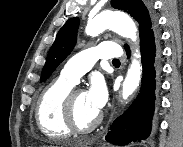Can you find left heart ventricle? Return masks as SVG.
Masks as SVG:
<instances>
[{"label": "left heart ventricle", "mask_w": 183, "mask_h": 147, "mask_svg": "<svg viewBox=\"0 0 183 147\" xmlns=\"http://www.w3.org/2000/svg\"><path fill=\"white\" fill-rule=\"evenodd\" d=\"M98 111L95 110L88 98L86 93L80 92L75 98V119L79 126H88L97 116Z\"/></svg>", "instance_id": "obj_1"}]
</instances>
